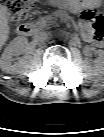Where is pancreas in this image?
I'll use <instances>...</instances> for the list:
<instances>
[{
  "instance_id": "obj_1",
  "label": "pancreas",
  "mask_w": 104,
  "mask_h": 137,
  "mask_svg": "<svg viewBox=\"0 0 104 137\" xmlns=\"http://www.w3.org/2000/svg\"><path fill=\"white\" fill-rule=\"evenodd\" d=\"M46 25H47V22H46V20L44 18H42L40 21H38L36 23V26H38V27H44Z\"/></svg>"
}]
</instances>
